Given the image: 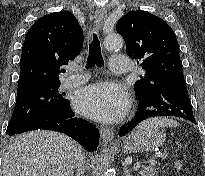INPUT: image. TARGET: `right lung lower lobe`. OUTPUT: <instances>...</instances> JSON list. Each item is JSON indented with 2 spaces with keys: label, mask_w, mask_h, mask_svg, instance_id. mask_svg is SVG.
<instances>
[{
  "label": "right lung lower lobe",
  "mask_w": 205,
  "mask_h": 176,
  "mask_svg": "<svg viewBox=\"0 0 205 176\" xmlns=\"http://www.w3.org/2000/svg\"><path fill=\"white\" fill-rule=\"evenodd\" d=\"M69 101L61 107H53L35 118L16 134L46 129L64 133L79 142L87 151L93 152L99 145V132L94 125L81 118L74 117Z\"/></svg>",
  "instance_id": "98d812e1"
}]
</instances>
